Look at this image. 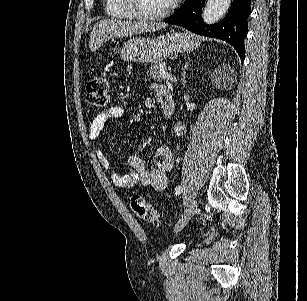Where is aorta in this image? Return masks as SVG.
Segmentation results:
<instances>
[{
    "label": "aorta",
    "instance_id": "762f6f07",
    "mask_svg": "<svg viewBox=\"0 0 307 301\" xmlns=\"http://www.w3.org/2000/svg\"><path fill=\"white\" fill-rule=\"evenodd\" d=\"M230 2L231 0H207L202 12L204 22H207V24H213V22L221 20L229 8ZM184 130L185 126L182 122H177V124H175V134L182 136Z\"/></svg>",
    "mask_w": 307,
    "mask_h": 301
}]
</instances>
